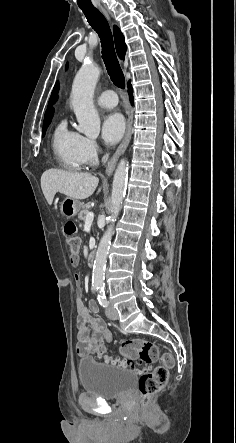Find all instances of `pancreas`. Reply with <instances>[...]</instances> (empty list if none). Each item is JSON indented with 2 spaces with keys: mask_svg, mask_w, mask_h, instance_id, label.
I'll use <instances>...</instances> for the list:
<instances>
[{
  "mask_svg": "<svg viewBox=\"0 0 236 443\" xmlns=\"http://www.w3.org/2000/svg\"><path fill=\"white\" fill-rule=\"evenodd\" d=\"M88 213H89V206H84L83 209L78 214V219L80 221L84 222L86 220V216H87Z\"/></svg>",
  "mask_w": 236,
  "mask_h": 443,
  "instance_id": "pancreas-1",
  "label": "pancreas"
}]
</instances>
